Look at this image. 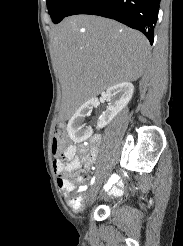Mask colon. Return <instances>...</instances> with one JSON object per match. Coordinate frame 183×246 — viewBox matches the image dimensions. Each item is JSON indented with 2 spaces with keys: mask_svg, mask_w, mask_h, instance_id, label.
I'll return each mask as SVG.
<instances>
[{
  "mask_svg": "<svg viewBox=\"0 0 183 246\" xmlns=\"http://www.w3.org/2000/svg\"><path fill=\"white\" fill-rule=\"evenodd\" d=\"M65 134L66 128L65 125L62 123H58L55 125L53 130V142H52V151L55 157L63 158L65 153ZM71 185L75 187L73 181H71ZM82 204L81 197H75L72 199V205L75 209H79Z\"/></svg>",
  "mask_w": 183,
  "mask_h": 246,
  "instance_id": "colon-1",
  "label": "colon"
}]
</instances>
